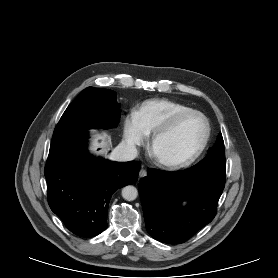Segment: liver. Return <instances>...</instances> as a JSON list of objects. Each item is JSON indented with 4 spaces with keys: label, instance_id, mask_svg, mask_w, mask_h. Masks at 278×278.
Here are the masks:
<instances>
[{
    "label": "liver",
    "instance_id": "6515ba94",
    "mask_svg": "<svg viewBox=\"0 0 278 278\" xmlns=\"http://www.w3.org/2000/svg\"><path fill=\"white\" fill-rule=\"evenodd\" d=\"M91 133L92 139L90 140L89 151L91 154L94 155H105L110 149L111 146V138L106 134H98L92 130ZM100 140V141H99ZM97 151V149H99Z\"/></svg>",
    "mask_w": 278,
    "mask_h": 278
}]
</instances>
